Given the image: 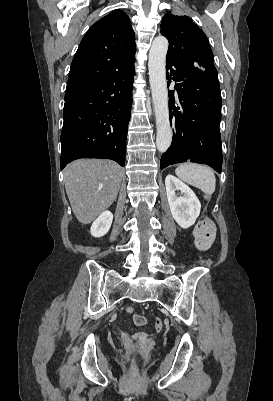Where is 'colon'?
I'll return each instance as SVG.
<instances>
[{
    "instance_id": "5ec220e1",
    "label": "colon",
    "mask_w": 273,
    "mask_h": 401,
    "mask_svg": "<svg viewBox=\"0 0 273 401\" xmlns=\"http://www.w3.org/2000/svg\"><path fill=\"white\" fill-rule=\"evenodd\" d=\"M201 226L206 230V231H210V230H214V225L212 223L211 220L206 219L201 221ZM198 240L199 241H212L213 240V233L212 232H199L198 233ZM135 323L139 326L142 327L144 325V314L142 312H137L135 314V318H134ZM130 372L132 375V378H135V375L138 374L140 372V369L138 368V365L136 363H133L131 365V369Z\"/></svg>"
}]
</instances>
